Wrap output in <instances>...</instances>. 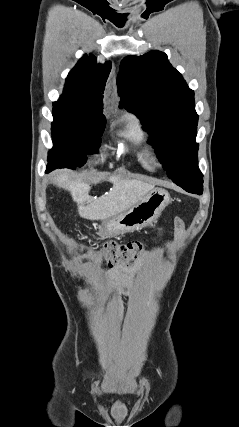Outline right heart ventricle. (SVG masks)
Returning <instances> with one entry per match:
<instances>
[{"label":"right heart ventricle","instance_id":"e07e8e85","mask_svg":"<svg viewBox=\"0 0 239 427\" xmlns=\"http://www.w3.org/2000/svg\"><path fill=\"white\" fill-rule=\"evenodd\" d=\"M121 135L136 147L143 146L148 139L146 130L135 116H128L126 118Z\"/></svg>","mask_w":239,"mask_h":427}]
</instances>
